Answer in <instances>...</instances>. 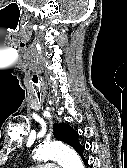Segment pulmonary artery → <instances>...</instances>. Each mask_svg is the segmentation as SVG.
Here are the masks:
<instances>
[{"label": "pulmonary artery", "instance_id": "e3ab8cb5", "mask_svg": "<svg viewBox=\"0 0 127 168\" xmlns=\"http://www.w3.org/2000/svg\"><path fill=\"white\" fill-rule=\"evenodd\" d=\"M31 168H58L57 165L53 163H45V164H40Z\"/></svg>", "mask_w": 127, "mask_h": 168}]
</instances>
